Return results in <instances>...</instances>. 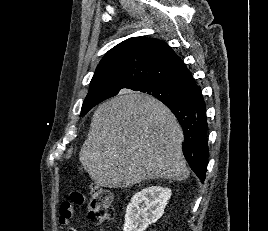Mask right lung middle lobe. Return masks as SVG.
<instances>
[{
	"label": "right lung middle lobe",
	"instance_id": "dd1d6c3e",
	"mask_svg": "<svg viewBox=\"0 0 268 231\" xmlns=\"http://www.w3.org/2000/svg\"><path fill=\"white\" fill-rule=\"evenodd\" d=\"M131 90L149 94L151 96L156 97L161 102H166V101L186 102L194 94V93L192 94L190 91L171 86L167 83L159 82V81H152V80L139 82L135 84L131 88ZM118 92H119V89H116V90L105 92V94L116 95ZM97 104L83 103L80 116L85 115L91 108H93Z\"/></svg>",
	"mask_w": 268,
	"mask_h": 231
}]
</instances>
